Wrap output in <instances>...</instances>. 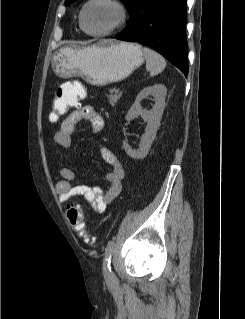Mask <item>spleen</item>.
<instances>
[{
    "label": "spleen",
    "instance_id": "spleen-1",
    "mask_svg": "<svg viewBox=\"0 0 245 319\" xmlns=\"http://www.w3.org/2000/svg\"><path fill=\"white\" fill-rule=\"evenodd\" d=\"M143 52L146 58V69L150 76L153 77L165 69L166 61L160 54L147 47L143 48Z\"/></svg>",
    "mask_w": 245,
    "mask_h": 319
}]
</instances>
